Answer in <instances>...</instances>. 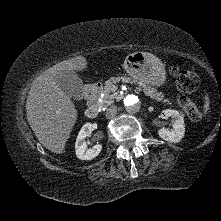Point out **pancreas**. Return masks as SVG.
Here are the masks:
<instances>
[{
  "mask_svg": "<svg viewBox=\"0 0 221 221\" xmlns=\"http://www.w3.org/2000/svg\"><path fill=\"white\" fill-rule=\"evenodd\" d=\"M119 81L133 82L128 77L112 78V79L107 80L105 83L104 90H103L104 96L101 98L102 99V103H101L102 106L106 107V106H109L110 104L113 103V101L116 97V95L114 93L116 91L115 84ZM137 89H138V91H143L146 96H149L153 100L162 101L164 103L171 104V101L169 99H165L163 93L158 92L155 88H153L151 86H147L143 83H138Z\"/></svg>",
  "mask_w": 221,
  "mask_h": 221,
  "instance_id": "cf45deb5",
  "label": "pancreas"
}]
</instances>
